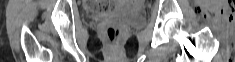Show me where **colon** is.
Segmentation results:
<instances>
[{
    "mask_svg": "<svg viewBox=\"0 0 235 62\" xmlns=\"http://www.w3.org/2000/svg\"><path fill=\"white\" fill-rule=\"evenodd\" d=\"M98 7L101 9V10H107L108 9V6L107 5H98ZM119 36H120V29L116 26H110L108 29H107V38L109 40V42L112 44V45H115L117 42H118V39H119Z\"/></svg>",
    "mask_w": 235,
    "mask_h": 62,
    "instance_id": "1",
    "label": "colon"
}]
</instances>
